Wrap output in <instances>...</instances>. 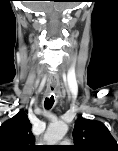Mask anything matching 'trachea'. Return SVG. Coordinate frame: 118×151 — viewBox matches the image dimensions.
<instances>
[{
    "mask_svg": "<svg viewBox=\"0 0 118 151\" xmlns=\"http://www.w3.org/2000/svg\"><path fill=\"white\" fill-rule=\"evenodd\" d=\"M54 104V96L51 95L50 98H46L44 101V107L46 109H51Z\"/></svg>",
    "mask_w": 118,
    "mask_h": 151,
    "instance_id": "obj_1",
    "label": "trachea"
}]
</instances>
